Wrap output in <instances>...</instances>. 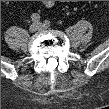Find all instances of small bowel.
<instances>
[{"mask_svg":"<svg viewBox=\"0 0 109 109\" xmlns=\"http://www.w3.org/2000/svg\"><path fill=\"white\" fill-rule=\"evenodd\" d=\"M44 5L48 8L52 7L54 5V1H45Z\"/></svg>","mask_w":109,"mask_h":109,"instance_id":"1","label":"small bowel"}]
</instances>
